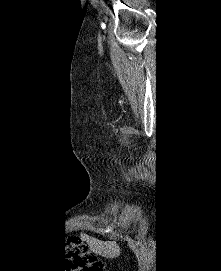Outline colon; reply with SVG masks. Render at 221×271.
Masks as SVG:
<instances>
[{"label":"colon","instance_id":"colon-1","mask_svg":"<svg viewBox=\"0 0 221 271\" xmlns=\"http://www.w3.org/2000/svg\"><path fill=\"white\" fill-rule=\"evenodd\" d=\"M65 247L74 271H105L102 263L96 260L95 255L88 251L87 246L77 236L67 239Z\"/></svg>","mask_w":221,"mask_h":271}]
</instances>
